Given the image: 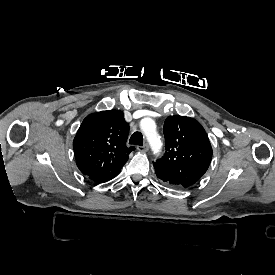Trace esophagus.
I'll return each mask as SVG.
<instances>
[{
    "mask_svg": "<svg viewBox=\"0 0 275 275\" xmlns=\"http://www.w3.org/2000/svg\"><path fill=\"white\" fill-rule=\"evenodd\" d=\"M137 149L140 151V152H147L149 150V146L148 144H144L143 146H138Z\"/></svg>",
    "mask_w": 275,
    "mask_h": 275,
    "instance_id": "1",
    "label": "esophagus"
}]
</instances>
